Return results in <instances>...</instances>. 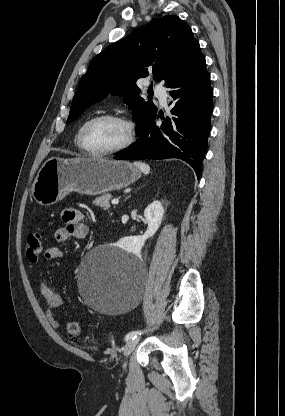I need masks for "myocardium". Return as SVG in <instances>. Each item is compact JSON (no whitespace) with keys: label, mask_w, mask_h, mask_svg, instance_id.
Wrapping results in <instances>:
<instances>
[{"label":"myocardium","mask_w":285,"mask_h":416,"mask_svg":"<svg viewBox=\"0 0 285 416\" xmlns=\"http://www.w3.org/2000/svg\"><path fill=\"white\" fill-rule=\"evenodd\" d=\"M98 119H110L117 123H119L124 129V139L120 145L113 149L104 150V151H95L87 147L84 140V132L87 126ZM133 140V129L131 123L121 115L114 114V113H100L90 117L84 124L81 126L78 135V143L80 148L90 156L95 157H105V156H113L122 153L125 151L132 143Z\"/></svg>","instance_id":"obj_1"}]
</instances>
